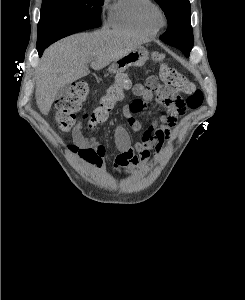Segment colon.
<instances>
[{
    "instance_id": "1",
    "label": "colon",
    "mask_w": 245,
    "mask_h": 300,
    "mask_svg": "<svg viewBox=\"0 0 245 300\" xmlns=\"http://www.w3.org/2000/svg\"><path fill=\"white\" fill-rule=\"evenodd\" d=\"M156 60L160 64L159 76L162 85L156 81L150 85L152 91L165 88L170 94L177 96L180 93L187 95L186 104L190 109H197L203 103V93L200 89L178 70L168 66L163 62L161 55H156ZM130 79L127 74H119L110 83L99 103L92 111L84 116V120L89 129H94L98 124L105 122L109 114L116 108L117 103L124 97V91L130 87ZM89 93V86L84 81L74 82L70 90L57 101L56 121L62 131H69L76 122V113L80 110ZM131 107L139 111L144 107V103L135 99L130 103ZM70 148L78 152L83 158L92 161L93 153L89 149H82L75 145Z\"/></svg>"
}]
</instances>
